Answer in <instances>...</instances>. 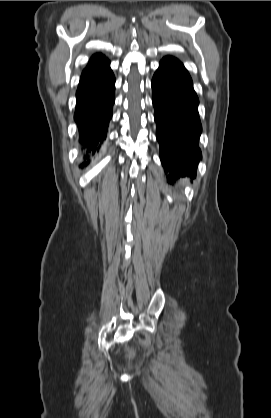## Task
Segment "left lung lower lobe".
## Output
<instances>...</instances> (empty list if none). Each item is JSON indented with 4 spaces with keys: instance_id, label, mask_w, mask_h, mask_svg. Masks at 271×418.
Returning <instances> with one entry per match:
<instances>
[{
    "instance_id": "1",
    "label": "left lung lower lobe",
    "mask_w": 271,
    "mask_h": 418,
    "mask_svg": "<svg viewBox=\"0 0 271 418\" xmlns=\"http://www.w3.org/2000/svg\"><path fill=\"white\" fill-rule=\"evenodd\" d=\"M152 90L156 137L168 180L194 178L202 157L198 146L202 126L192 79L178 59L167 56L153 76Z\"/></svg>"
}]
</instances>
